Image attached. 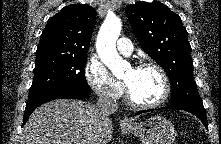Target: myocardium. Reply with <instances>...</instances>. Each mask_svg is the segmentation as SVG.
Returning a JSON list of instances; mask_svg holds the SVG:
<instances>
[{"instance_id": "obj_1", "label": "myocardium", "mask_w": 221, "mask_h": 144, "mask_svg": "<svg viewBox=\"0 0 221 144\" xmlns=\"http://www.w3.org/2000/svg\"><path fill=\"white\" fill-rule=\"evenodd\" d=\"M145 68H154L160 74L162 81H163V93H162L161 97L157 101L152 102V103L139 102L134 98L129 85L125 82L126 96H127L128 102L134 107L142 108V109H153V108H157V107L161 106L162 104H164L167 101V99L170 95V92H171V83H170V79H169L166 71L163 69L162 66H160L156 62L144 61V62H140L139 64H137L133 67V69H135V70H141V69H145Z\"/></svg>"}]
</instances>
